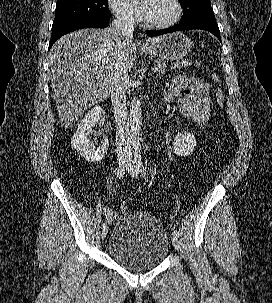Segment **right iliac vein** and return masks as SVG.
I'll use <instances>...</instances> for the list:
<instances>
[{
	"instance_id": "1",
	"label": "right iliac vein",
	"mask_w": 272,
	"mask_h": 303,
	"mask_svg": "<svg viewBox=\"0 0 272 303\" xmlns=\"http://www.w3.org/2000/svg\"><path fill=\"white\" fill-rule=\"evenodd\" d=\"M126 163H127V160H126V158L124 156H120L118 158V165H119V167L126 166ZM107 232H108V227L102 229V233H101L102 239H104L106 237Z\"/></svg>"
}]
</instances>
